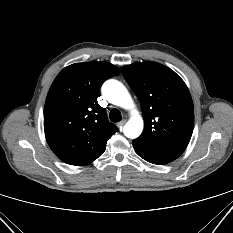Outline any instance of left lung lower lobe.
Instances as JSON below:
<instances>
[{
  "label": "left lung lower lobe",
  "mask_w": 233,
  "mask_h": 233,
  "mask_svg": "<svg viewBox=\"0 0 233 233\" xmlns=\"http://www.w3.org/2000/svg\"><path fill=\"white\" fill-rule=\"evenodd\" d=\"M133 147L141 158L157 165L175 160L186 149L183 146L161 145L137 139L133 140Z\"/></svg>",
  "instance_id": "0a47b994"
}]
</instances>
